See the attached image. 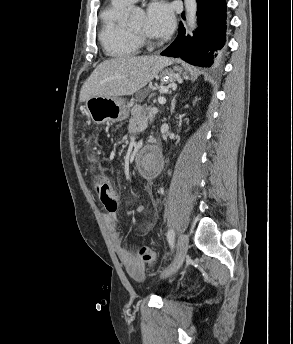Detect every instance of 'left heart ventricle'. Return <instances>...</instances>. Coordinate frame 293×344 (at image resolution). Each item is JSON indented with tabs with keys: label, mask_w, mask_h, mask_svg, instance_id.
<instances>
[{
	"label": "left heart ventricle",
	"mask_w": 293,
	"mask_h": 344,
	"mask_svg": "<svg viewBox=\"0 0 293 344\" xmlns=\"http://www.w3.org/2000/svg\"><path fill=\"white\" fill-rule=\"evenodd\" d=\"M144 19V15H140L128 26V28L135 32L146 34L144 31Z\"/></svg>",
	"instance_id": "left-heart-ventricle-1"
}]
</instances>
